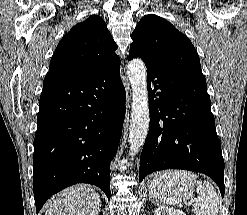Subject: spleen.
<instances>
[{
  "label": "spleen",
  "mask_w": 247,
  "mask_h": 215,
  "mask_svg": "<svg viewBox=\"0 0 247 215\" xmlns=\"http://www.w3.org/2000/svg\"><path fill=\"white\" fill-rule=\"evenodd\" d=\"M198 198L193 205L195 215H218L219 196L209 182L196 181Z\"/></svg>",
  "instance_id": "3e777b00"
}]
</instances>
